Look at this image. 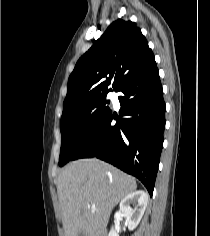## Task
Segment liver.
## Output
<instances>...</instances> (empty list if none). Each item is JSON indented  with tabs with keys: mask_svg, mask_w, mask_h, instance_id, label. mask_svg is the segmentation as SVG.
<instances>
[{
	"mask_svg": "<svg viewBox=\"0 0 210 236\" xmlns=\"http://www.w3.org/2000/svg\"><path fill=\"white\" fill-rule=\"evenodd\" d=\"M136 189L133 177L98 159L71 162L57 179L65 236H102L113 208Z\"/></svg>",
	"mask_w": 210,
	"mask_h": 236,
	"instance_id": "obj_1",
	"label": "liver"
}]
</instances>
